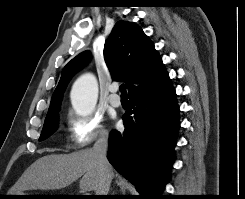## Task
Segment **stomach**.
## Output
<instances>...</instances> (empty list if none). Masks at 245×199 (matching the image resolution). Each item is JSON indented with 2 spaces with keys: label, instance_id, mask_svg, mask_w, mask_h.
Segmentation results:
<instances>
[{
  "label": "stomach",
  "instance_id": "0dacf381",
  "mask_svg": "<svg viewBox=\"0 0 245 199\" xmlns=\"http://www.w3.org/2000/svg\"><path fill=\"white\" fill-rule=\"evenodd\" d=\"M12 195H31L27 193H20V194H12ZM27 196H16V199H26Z\"/></svg>",
  "mask_w": 245,
  "mask_h": 199
}]
</instances>
